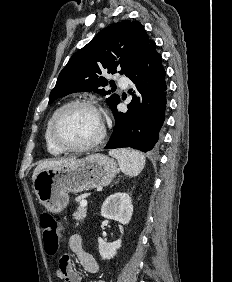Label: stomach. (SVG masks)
I'll return each mask as SVG.
<instances>
[{
    "label": "stomach",
    "mask_w": 232,
    "mask_h": 282,
    "mask_svg": "<svg viewBox=\"0 0 232 282\" xmlns=\"http://www.w3.org/2000/svg\"><path fill=\"white\" fill-rule=\"evenodd\" d=\"M118 171L113 159L91 154L72 163L42 170L33 181V189L45 209L58 213L67 206L69 193L109 185Z\"/></svg>",
    "instance_id": "0dacf381"
}]
</instances>
